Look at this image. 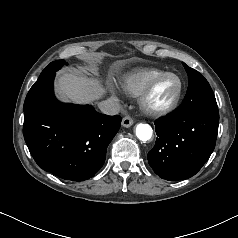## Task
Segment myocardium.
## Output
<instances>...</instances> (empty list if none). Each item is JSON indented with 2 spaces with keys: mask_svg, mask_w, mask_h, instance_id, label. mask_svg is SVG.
Listing matches in <instances>:
<instances>
[{
  "mask_svg": "<svg viewBox=\"0 0 238 238\" xmlns=\"http://www.w3.org/2000/svg\"><path fill=\"white\" fill-rule=\"evenodd\" d=\"M169 76L175 77L179 82V87L176 94L168 103L164 105L160 106L152 105L150 103V98L156 85L159 83L160 80ZM183 90H184V82L178 74L174 72H164L156 76L154 79H152L151 82L147 85V87L143 90V92L139 95L138 99L139 107L141 111L148 116L151 117L165 116L177 108L181 100Z\"/></svg>",
  "mask_w": 238,
  "mask_h": 238,
  "instance_id": "myocardium-1",
  "label": "myocardium"
}]
</instances>
